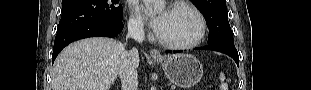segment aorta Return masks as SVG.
Here are the masks:
<instances>
[{
    "mask_svg": "<svg viewBox=\"0 0 311 90\" xmlns=\"http://www.w3.org/2000/svg\"><path fill=\"white\" fill-rule=\"evenodd\" d=\"M147 6H150L154 12H159L165 8L164 0H144Z\"/></svg>",
    "mask_w": 311,
    "mask_h": 90,
    "instance_id": "aorta-1",
    "label": "aorta"
}]
</instances>
